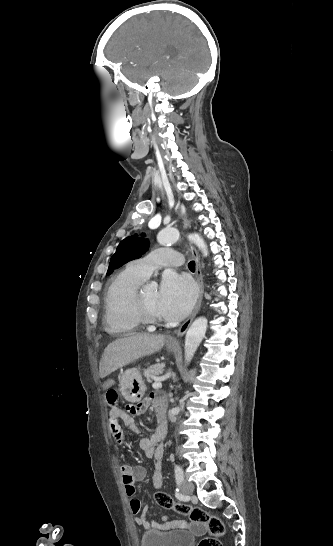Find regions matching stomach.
<instances>
[{
	"label": "stomach",
	"mask_w": 333,
	"mask_h": 546,
	"mask_svg": "<svg viewBox=\"0 0 333 546\" xmlns=\"http://www.w3.org/2000/svg\"><path fill=\"white\" fill-rule=\"evenodd\" d=\"M167 349L170 352H175L177 346L167 343ZM119 386L124 398L132 403L141 401L146 389L140 371L135 368L128 369L121 375Z\"/></svg>",
	"instance_id": "1"
}]
</instances>
